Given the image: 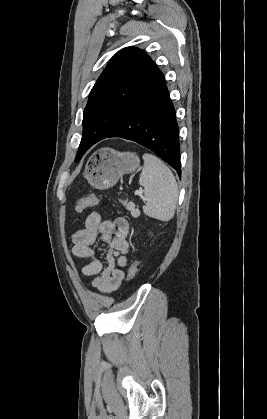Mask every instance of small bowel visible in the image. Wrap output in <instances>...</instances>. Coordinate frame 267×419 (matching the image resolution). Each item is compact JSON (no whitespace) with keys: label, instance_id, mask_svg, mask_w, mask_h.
I'll list each match as a JSON object with an SVG mask.
<instances>
[{"label":"small bowel","instance_id":"small-bowel-1","mask_svg":"<svg viewBox=\"0 0 267 419\" xmlns=\"http://www.w3.org/2000/svg\"><path fill=\"white\" fill-rule=\"evenodd\" d=\"M129 231L130 226L125 218L102 221L99 212L93 211L86 217L84 228L72 235V254L78 258L90 259L81 268L82 275L93 277L92 286L101 292L116 291L124 279L129 252ZM98 237L108 243L106 266L95 258L94 245Z\"/></svg>","mask_w":267,"mask_h":419}]
</instances>
